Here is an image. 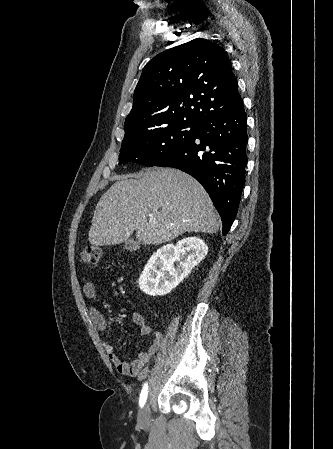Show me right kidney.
<instances>
[{"label":"right kidney","mask_w":333,"mask_h":449,"mask_svg":"<svg viewBox=\"0 0 333 449\" xmlns=\"http://www.w3.org/2000/svg\"><path fill=\"white\" fill-rule=\"evenodd\" d=\"M207 252V245L198 237L185 238L175 246H163L151 256L139 278L141 291L153 297L170 293ZM175 261H178L176 266Z\"/></svg>","instance_id":"obj_1"}]
</instances>
